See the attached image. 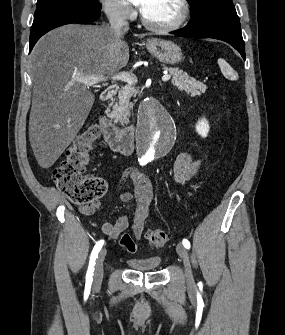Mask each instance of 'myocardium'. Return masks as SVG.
Here are the masks:
<instances>
[{
    "label": "myocardium",
    "instance_id": "myocardium-1",
    "mask_svg": "<svg viewBox=\"0 0 285 335\" xmlns=\"http://www.w3.org/2000/svg\"><path fill=\"white\" fill-rule=\"evenodd\" d=\"M181 8L182 10V14L180 16V18L173 24H169L166 26H154L152 24H150L142 15L140 20H141V24L143 25V27L152 32V33H157V34H164V33H169V32H174L179 30L183 24L188 20L189 16H190V6L188 1H175Z\"/></svg>",
    "mask_w": 285,
    "mask_h": 335
}]
</instances>
